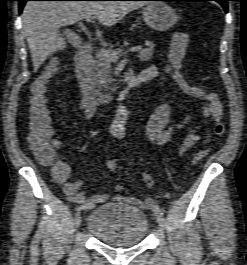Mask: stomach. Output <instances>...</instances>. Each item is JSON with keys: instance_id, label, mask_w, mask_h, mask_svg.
<instances>
[{"instance_id": "obj_1", "label": "stomach", "mask_w": 247, "mask_h": 265, "mask_svg": "<svg viewBox=\"0 0 247 265\" xmlns=\"http://www.w3.org/2000/svg\"><path fill=\"white\" fill-rule=\"evenodd\" d=\"M145 23L153 30L166 31L176 24L178 16L174 9L164 2H151L143 10Z\"/></svg>"}]
</instances>
